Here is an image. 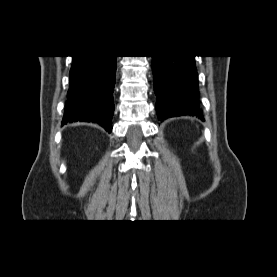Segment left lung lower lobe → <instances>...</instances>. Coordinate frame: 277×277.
Here are the masks:
<instances>
[{
	"label": "left lung lower lobe",
	"instance_id": "obj_1",
	"mask_svg": "<svg viewBox=\"0 0 277 277\" xmlns=\"http://www.w3.org/2000/svg\"><path fill=\"white\" fill-rule=\"evenodd\" d=\"M156 111L161 121L181 116L203 120L198 98L195 56H152Z\"/></svg>",
	"mask_w": 277,
	"mask_h": 277
}]
</instances>
